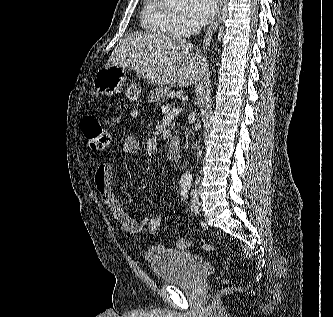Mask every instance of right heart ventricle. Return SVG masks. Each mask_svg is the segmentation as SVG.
Instances as JSON below:
<instances>
[{
	"label": "right heart ventricle",
	"mask_w": 333,
	"mask_h": 317,
	"mask_svg": "<svg viewBox=\"0 0 333 317\" xmlns=\"http://www.w3.org/2000/svg\"><path fill=\"white\" fill-rule=\"evenodd\" d=\"M174 17L162 0L143 1L141 24L146 31L162 37H173L176 35Z\"/></svg>",
	"instance_id": "obj_1"
}]
</instances>
